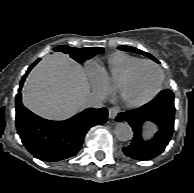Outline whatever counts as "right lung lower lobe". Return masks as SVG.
<instances>
[{
  "instance_id": "1",
  "label": "right lung lower lobe",
  "mask_w": 194,
  "mask_h": 193,
  "mask_svg": "<svg viewBox=\"0 0 194 193\" xmlns=\"http://www.w3.org/2000/svg\"><path fill=\"white\" fill-rule=\"evenodd\" d=\"M31 65L23 76L16 95L17 132L27 148L42 161L55 162L75 156L82 147L87 131L107 120L106 108H89L66 121L43 119L25 108L21 102V88Z\"/></svg>"
}]
</instances>
